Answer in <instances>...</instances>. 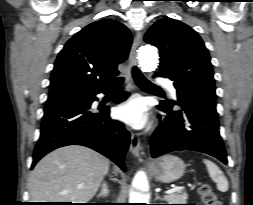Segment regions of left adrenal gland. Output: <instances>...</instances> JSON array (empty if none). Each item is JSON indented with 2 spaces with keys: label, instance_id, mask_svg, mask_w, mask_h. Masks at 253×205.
<instances>
[{
  "label": "left adrenal gland",
  "instance_id": "1",
  "mask_svg": "<svg viewBox=\"0 0 253 205\" xmlns=\"http://www.w3.org/2000/svg\"><path fill=\"white\" fill-rule=\"evenodd\" d=\"M155 200H163L158 193H155Z\"/></svg>",
  "mask_w": 253,
  "mask_h": 205
}]
</instances>
